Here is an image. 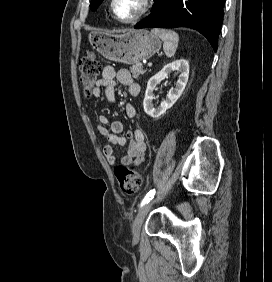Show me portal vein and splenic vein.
<instances>
[{
  "label": "portal vein and splenic vein",
  "instance_id": "obj_1",
  "mask_svg": "<svg viewBox=\"0 0 272 282\" xmlns=\"http://www.w3.org/2000/svg\"><path fill=\"white\" fill-rule=\"evenodd\" d=\"M148 67H152V63H148Z\"/></svg>",
  "mask_w": 272,
  "mask_h": 282
}]
</instances>
